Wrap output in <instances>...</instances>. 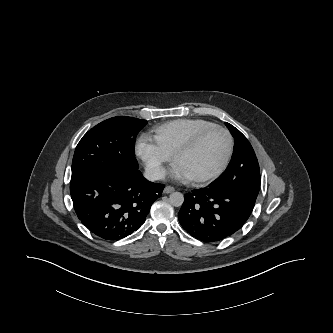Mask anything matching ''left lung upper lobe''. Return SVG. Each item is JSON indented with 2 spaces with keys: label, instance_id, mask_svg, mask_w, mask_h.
Listing matches in <instances>:
<instances>
[{
  "label": "left lung upper lobe",
  "instance_id": "obj_1",
  "mask_svg": "<svg viewBox=\"0 0 333 333\" xmlns=\"http://www.w3.org/2000/svg\"><path fill=\"white\" fill-rule=\"evenodd\" d=\"M234 137V153L227 169L211 184L230 188L256 200L260 188V169L247 138L234 126L225 123Z\"/></svg>",
  "mask_w": 333,
  "mask_h": 333
}]
</instances>
